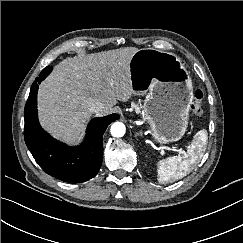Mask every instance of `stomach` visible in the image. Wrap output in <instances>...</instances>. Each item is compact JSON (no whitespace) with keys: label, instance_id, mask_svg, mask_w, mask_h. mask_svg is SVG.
Returning a JSON list of instances; mask_svg holds the SVG:
<instances>
[{"label":"stomach","instance_id":"stomach-1","mask_svg":"<svg viewBox=\"0 0 243 243\" xmlns=\"http://www.w3.org/2000/svg\"><path fill=\"white\" fill-rule=\"evenodd\" d=\"M133 93L146 95L143 110L156 142H175L188 126L193 100L192 80L175 54L144 48L130 63Z\"/></svg>","mask_w":243,"mask_h":243}]
</instances>
